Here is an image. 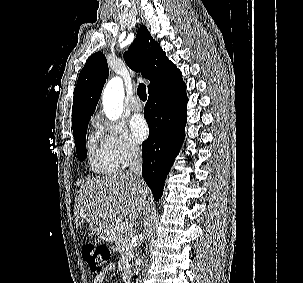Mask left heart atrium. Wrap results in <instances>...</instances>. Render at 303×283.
Masks as SVG:
<instances>
[{"mask_svg":"<svg viewBox=\"0 0 303 283\" xmlns=\"http://www.w3.org/2000/svg\"><path fill=\"white\" fill-rule=\"evenodd\" d=\"M130 127L131 132L137 141H143L148 136V124L142 115L134 116L130 121Z\"/></svg>","mask_w":303,"mask_h":283,"instance_id":"obj_1","label":"left heart atrium"}]
</instances>
